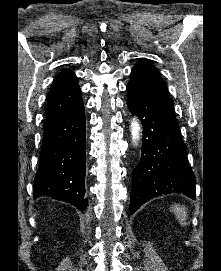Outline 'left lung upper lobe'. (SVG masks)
Here are the masks:
<instances>
[{"label":"left lung upper lobe","mask_w":221,"mask_h":271,"mask_svg":"<svg viewBox=\"0 0 221 271\" xmlns=\"http://www.w3.org/2000/svg\"><path fill=\"white\" fill-rule=\"evenodd\" d=\"M133 83L143 89L152 99L174 111L173 104L169 98L168 89L163 82L160 72L146 60L139 61L131 71Z\"/></svg>","instance_id":"left-lung-upper-lobe-1"}]
</instances>
